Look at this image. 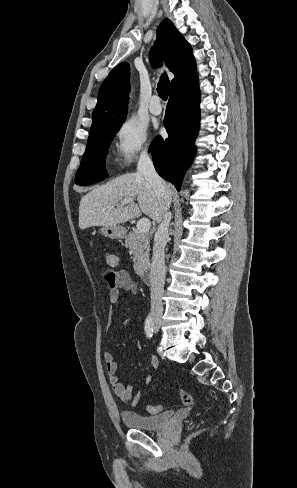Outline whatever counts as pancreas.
Returning <instances> with one entry per match:
<instances>
[{
    "label": "pancreas",
    "mask_w": 297,
    "mask_h": 488,
    "mask_svg": "<svg viewBox=\"0 0 297 488\" xmlns=\"http://www.w3.org/2000/svg\"><path fill=\"white\" fill-rule=\"evenodd\" d=\"M125 246L133 254L134 270L139 273L149 265L150 239L149 235L133 229L125 240Z\"/></svg>",
    "instance_id": "1"
}]
</instances>
